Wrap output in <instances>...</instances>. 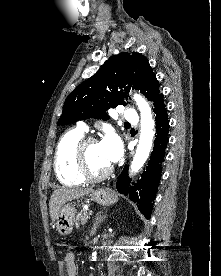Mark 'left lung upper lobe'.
<instances>
[{
	"label": "left lung upper lobe",
	"mask_w": 221,
	"mask_h": 276,
	"mask_svg": "<svg viewBox=\"0 0 221 276\" xmlns=\"http://www.w3.org/2000/svg\"><path fill=\"white\" fill-rule=\"evenodd\" d=\"M131 87L140 90L152 103L160 95L159 82L142 54L124 52L110 57L95 75L70 93L58 124L87 118L108 120L107 110L126 105Z\"/></svg>",
	"instance_id": "obj_1"
}]
</instances>
